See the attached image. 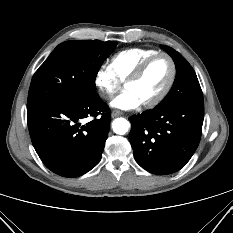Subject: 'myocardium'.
<instances>
[{
    "label": "myocardium",
    "mask_w": 233,
    "mask_h": 233,
    "mask_svg": "<svg viewBox=\"0 0 233 233\" xmlns=\"http://www.w3.org/2000/svg\"><path fill=\"white\" fill-rule=\"evenodd\" d=\"M160 57H165L170 62V65H171V75H170V78H169L166 86L160 92V94H158L154 99L142 103L143 107H145V108H152V107H155L158 104H160L165 99V97L168 95V93L170 92V90L172 89V87L174 85V82H175V79H176V75H177V68H176V64H175L173 58L169 54H167V53H157V54H155V55L147 58L124 81V84H123V87L125 88L129 84L137 82L143 76L144 72L149 67V65L152 62H154L156 59L160 58Z\"/></svg>",
    "instance_id": "obj_1"
}]
</instances>
